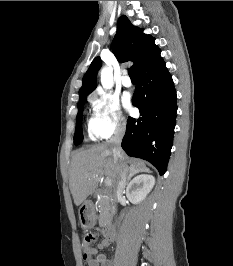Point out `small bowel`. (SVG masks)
I'll use <instances>...</instances> for the list:
<instances>
[{
  "label": "small bowel",
  "instance_id": "small-bowel-1",
  "mask_svg": "<svg viewBox=\"0 0 233 266\" xmlns=\"http://www.w3.org/2000/svg\"><path fill=\"white\" fill-rule=\"evenodd\" d=\"M110 245L107 239L100 241L97 247H92L91 243L83 242V259L87 266H111L108 257L103 253H98L99 249H105Z\"/></svg>",
  "mask_w": 233,
  "mask_h": 266
}]
</instances>
